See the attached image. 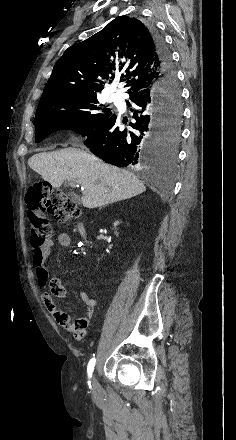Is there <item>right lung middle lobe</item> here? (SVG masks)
<instances>
[{"label": "right lung middle lobe", "mask_w": 236, "mask_h": 440, "mask_svg": "<svg viewBox=\"0 0 236 440\" xmlns=\"http://www.w3.org/2000/svg\"><path fill=\"white\" fill-rule=\"evenodd\" d=\"M166 99L176 103L167 111L164 130L160 134L162 147L160 157L173 159L180 135L182 109L180 89H167ZM112 113L109 108L99 104L96 94H70L54 96L39 102L35 115L36 143L41 142L51 132L71 129L81 134L108 119Z\"/></svg>", "instance_id": "dd1d6c3e"}]
</instances>
